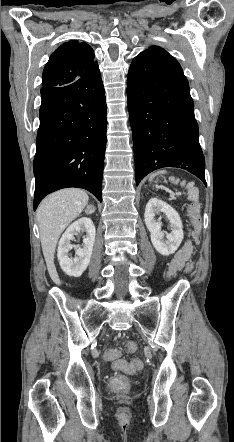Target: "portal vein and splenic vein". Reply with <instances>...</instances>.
Returning <instances> with one entry per match:
<instances>
[{"instance_id":"1","label":"portal vein and splenic vein","mask_w":234,"mask_h":442,"mask_svg":"<svg viewBox=\"0 0 234 442\" xmlns=\"http://www.w3.org/2000/svg\"><path fill=\"white\" fill-rule=\"evenodd\" d=\"M170 192V194H171V196H179V195H182V193L181 192H178V191H176V192H173V191H169Z\"/></svg>"}]
</instances>
